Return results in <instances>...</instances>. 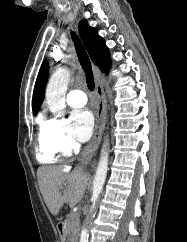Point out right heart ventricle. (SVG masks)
Returning a JSON list of instances; mask_svg holds the SVG:
<instances>
[{
	"mask_svg": "<svg viewBox=\"0 0 187 242\" xmlns=\"http://www.w3.org/2000/svg\"><path fill=\"white\" fill-rule=\"evenodd\" d=\"M44 121L40 120L38 146L36 150L37 159L41 163H55L57 161V152L49 145L43 134Z\"/></svg>",
	"mask_w": 187,
	"mask_h": 242,
	"instance_id": "right-heart-ventricle-1",
	"label": "right heart ventricle"
}]
</instances>
